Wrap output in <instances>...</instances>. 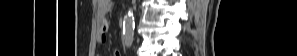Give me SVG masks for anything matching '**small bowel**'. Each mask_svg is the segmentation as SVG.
Wrapping results in <instances>:
<instances>
[{"instance_id":"c3829d8e","label":"small bowel","mask_w":297,"mask_h":56,"mask_svg":"<svg viewBox=\"0 0 297 56\" xmlns=\"http://www.w3.org/2000/svg\"><path fill=\"white\" fill-rule=\"evenodd\" d=\"M112 7V3L108 0H98L97 2V8H98V16L100 19V34L98 41L101 43L106 42L107 40V29H108V24L106 21V16L108 12L110 11ZM115 56H121V53L119 51H115Z\"/></svg>"}]
</instances>
